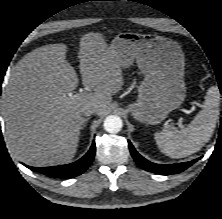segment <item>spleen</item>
Segmentation results:
<instances>
[{
    "mask_svg": "<svg viewBox=\"0 0 222 219\" xmlns=\"http://www.w3.org/2000/svg\"><path fill=\"white\" fill-rule=\"evenodd\" d=\"M220 94L217 87L208 89L203 109L190 124L181 130L174 127L164 128L155 133L160 150L171 158L187 157L199 151L207 143L219 119Z\"/></svg>",
    "mask_w": 222,
    "mask_h": 219,
    "instance_id": "3e777b00",
    "label": "spleen"
}]
</instances>
